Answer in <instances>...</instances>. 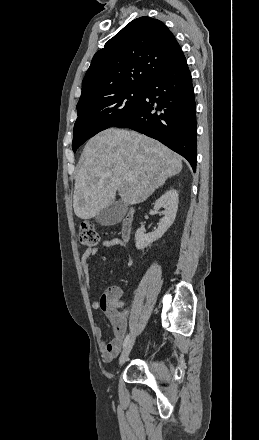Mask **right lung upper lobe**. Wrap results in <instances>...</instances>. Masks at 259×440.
<instances>
[{
	"label": "right lung upper lobe",
	"instance_id": "1",
	"mask_svg": "<svg viewBox=\"0 0 259 440\" xmlns=\"http://www.w3.org/2000/svg\"><path fill=\"white\" fill-rule=\"evenodd\" d=\"M182 55L163 22L146 16L131 21L94 55L77 108L124 89L148 88Z\"/></svg>",
	"mask_w": 259,
	"mask_h": 440
}]
</instances>
